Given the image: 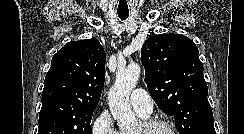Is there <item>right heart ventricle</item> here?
<instances>
[{"instance_id":"e07e8e85","label":"right heart ventricle","mask_w":244,"mask_h":134,"mask_svg":"<svg viewBox=\"0 0 244 134\" xmlns=\"http://www.w3.org/2000/svg\"><path fill=\"white\" fill-rule=\"evenodd\" d=\"M142 118L146 119L147 117H144L142 115H140ZM120 134H135L134 132H131V131H125V130H122L120 131Z\"/></svg>"}]
</instances>
